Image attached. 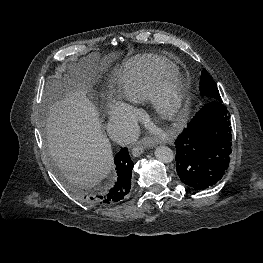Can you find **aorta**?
Returning a JSON list of instances; mask_svg holds the SVG:
<instances>
[{
  "label": "aorta",
  "instance_id": "aorta-1",
  "mask_svg": "<svg viewBox=\"0 0 263 263\" xmlns=\"http://www.w3.org/2000/svg\"><path fill=\"white\" fill-rule=\"evenodd\" d=\"M155 157L161 163L168 164L174 160V153L167 146H158L155 149Z\"/></svg>",
  "mask_w": 263,
  "mask_h": 263
}]
</instances>
